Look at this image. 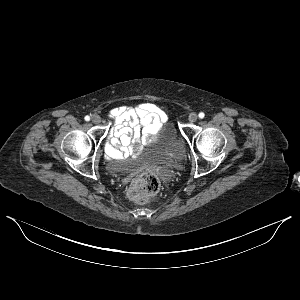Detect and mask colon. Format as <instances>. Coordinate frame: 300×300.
I'll return each instance as SVG.
<instances>
[{"mask_svg":"<svg viewBox=\"0 0 300 300\" xmlns=\"http://www.w3.org/2000/svg\"><path fill=\"white\" fill-rule=\"evenodd\" d=\"M161 189L160 179L151 172H143L131 183L128 197L135 203L144 204L153 200Z\"/></svg>","mask_w":300,"mask_h":300,"instance_id":"colon-1","label":"colon"}]
</instances>
